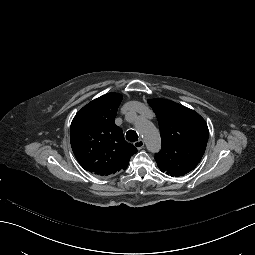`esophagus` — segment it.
Masks as SVG:
<instances>
[{"instance_id":"34e87169","label":"esophagus","mask_w":255,"mask_h":255,"mask_svg":"<svg viewBox=\"0 0 255 255\" xmlns=\"http://www.w3.org/2000/svg\"><path fill=\"white\" fill-rule=\"evenodd\" d=\"M134 146L140 150L144 147V141L142 139L138 140V141H135L134 142Z\"/></svg>"}]
</instances>
